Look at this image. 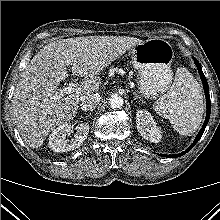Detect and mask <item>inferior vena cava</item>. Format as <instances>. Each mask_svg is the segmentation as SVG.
Returning <instances> with one entry per match:
<instances>
[{
  "mask_svg": "<svg viewBox=\"0 0 220 220\" xmlns=\"http://www.w3.org/2000/svg\"><path fill=\"white\" fill-rule=\"evenodd\" d=\"M101 96L98 93L84 96L80 102V108L83 111H93L99 104Z\"/></svg>",
  "mask_w": 220,
  "mask_h": 220,
  "instance_id": "1",
  "label": "inferior vena cava"
}]
</instances>
